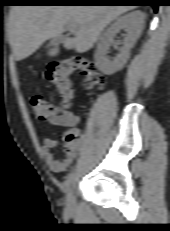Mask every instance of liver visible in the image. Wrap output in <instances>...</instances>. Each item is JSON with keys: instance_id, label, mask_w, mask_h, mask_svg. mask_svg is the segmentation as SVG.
<instances>
[{"instance_id": "6515ba94", "label": "liver", "mask_w": 170, "mask_h": 231, "mask_svg": "<svg viewBox=\"0 0 170 231\" xmlns=\"http://www.w3.org/2000/svg\"><path fill=\"white\" fill-rule=\"evenodd\" d=\"M134 5L14 6L10 10L9 41L17 61L34 53L46 40L62 38L66 28L73 38L62 39L65 49L78 53L90 50L103 29Z\"/></svg>"}]
</instances>
